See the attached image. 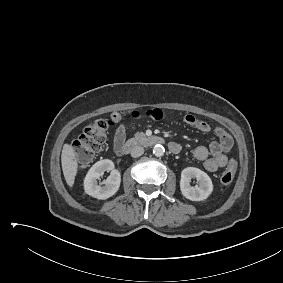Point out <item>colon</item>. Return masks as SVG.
Here are the masks:
<instances>
[{"label": "colon", "instance_id": "obj_1", "mask_svg": "<svg viewBox=\"0 0 283 283\" xmlns=\"http://www.w3.org/2000/svg\"><path fill=\"white\" fill-rule=\"evenodd\" d=\"M110 122L105 119H97L88 124L83 133L74 142V152L80 164H87L98 153L106 142L107 130ZM237 170V162L230 160L222 171L220 181L229 184L233 181Z\"/></svg>", "mask_w": 283, "mask_h": 283}]
</instances>
